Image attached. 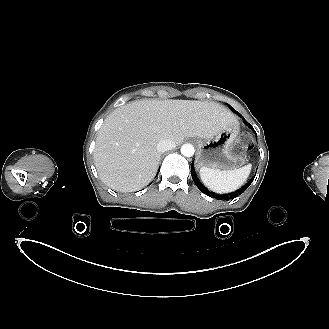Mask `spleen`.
I'll return each instance as SVG.
<instances>
[{"label":"spleen","mask_w":329,"mask_h":329,"mask_svg":"<svg viewBox=\"0 0 329 329\" xmlns=\"http://www.w3.org/2000/svg\"><path fill=\"white\" fill-rule=\"evenodd\" d=\"M251 164L242 168L218 171L208 168L200 169V178L202 182L214 192L228 193L241 187L249 177Z\"/></svg>","instance_id":"3e777b00"}]
</instances>
